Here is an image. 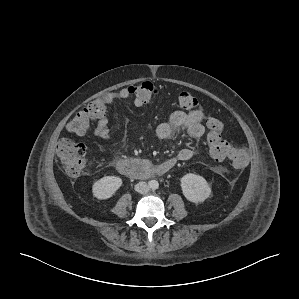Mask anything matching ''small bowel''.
I'll use <instances>...</instances> for the list:
<instances>
[{"mask_svg": "<svg viewBox=\"0 0 299 299\" xmlns=\"http://www.w3.org/2000/svg\"><path fill=\"white\" fill-rule=\"evenodd\" d=\"M132 96L128 88H123L119 91L109 92L104 95L107 104H112L118 101H123ZM134 106L141 107L144 103L134 98ZM206 115L202 110H193L190 112L174 111L166 122L158 125L156 134L160 139H170L179 130H184L192 138L199 139L206 133L203 121ZM94 135L104 141H109L111 138L110 121L106 115L98 119ZM194 152L190 148H182L175 157L169 158L156 166L160 170V174H164L171 170L178 161H187L192 158Z\"/></svg>", "mask_w": 299, "mask_h": 299, "instance_id": "small-bowel-1", "label": "small bowel"}]
</instances>
